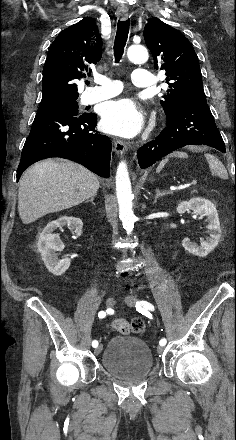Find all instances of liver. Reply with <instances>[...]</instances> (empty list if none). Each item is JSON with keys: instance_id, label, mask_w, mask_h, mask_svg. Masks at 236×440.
Instances as JSON below:
<instances>
[{"instance_id": "obj_1", "label": "liver", "mask_w": 236, "mask_h": 440, "mask_svg": "<svg viewBox=\"0 0 236 440\" xmlns=\"http://www.w3.org/2000/svg\"><path fill=\"white\" fill-rule=\"evenodd\" d=\"M99 180L72 162L42 161L28 169L19 183L18 211L24 224L79 205L96 195Z\"/></svg>"}]
</instances>
